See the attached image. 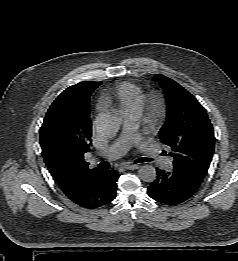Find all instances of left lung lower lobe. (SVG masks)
Instances as JSON below:
<instances>
[{
    "label": "left lung lower lobe",
    "instance_id": "left-lung-lower-lobe-1",
    "mask_svg": "<svg viewBox=\"0 0 238 261\" xmlns=\"http://www.w3.org/2000/svg\"><path fill=\"white\" fill-rule=\"evenodd\" d=\"M156 172V180L148 187V195L167 205H178L188 200L202 182L190 178L176 169L164 171L156 168Z\"/></svg>",
    "mask_w": 238,
    "mask_h": 261
}]
</instances>
